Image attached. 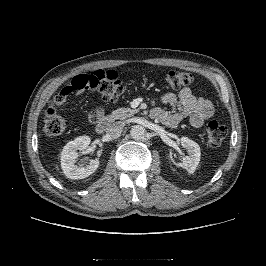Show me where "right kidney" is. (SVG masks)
<instances>
[{
    "instance_id": "ca27d5eb",
    "label": "right kidney",
    "mask_w": 266,
    "mask_h": 266,
    "mask_svg": "<svg viewBox=\"0 0 266 266\" xmlns=\"http://www.w3.org/2000/svg\"><path fill=\"white\" fill-rule=\"evenodd\" d=\"M88 136H80L67 143L61 152V167L64 174L70 179H84L94 173L99 167L98 159H91L88 165L77 166L75 159L77 150H85L90 144Z\"/></svg>"
}]
</instances>
